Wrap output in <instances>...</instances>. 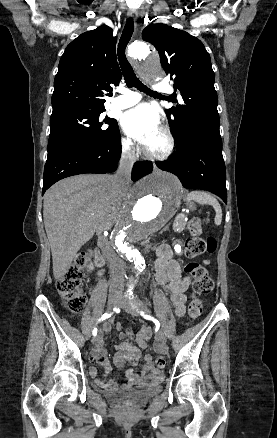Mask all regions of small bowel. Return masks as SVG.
Masks as SVG:
<instances>
[{
    "label": "small bowel",
    "instance_id": "c3829d8e",
    "mask_svg": "<svg viewBox=\"0 0 277 438\" xmlns=\"http://www.w3.org/2000/svg\"><path fill=\"white\" fill-rule=\"evenodd\" d=\"M155 268L157 284L166 286L176 315L183 316L185 314L186 304L185 292L187 291L191 280L189 277L182 275L181 261L177 258H174V249L171 246L162 245L159 247L157 251ZM102 331L107 337L112 335L111 328L108 325L103 326ZM125 331L127 333L124 336L122 334L119 335L120 339L125 338L126 340H133L135 338V335L130 333L132 331L130 326H127ZM151 335L152 332L150 328L143 327L137 335V346H132L129 343L122 341L117 347V353L114 359L116 365L122 366L126 361H129L132 366H135L140 358L141 349H145L147 347V341ZM105 351L106 346L98 342L96 350H92L91 352V360L99 362L105 371H109L111 369V365L105 355ZM144 360L145 364L143 366L142 373L139 374L131 372L129 376L134 381L157 384L160 379V375L159 372L154 369L152 356L147 354L145 355ZM90 373L91 375L95 376L96 369L91 368ZM96 383L97 385L105 387L108 390H114L118 387L116 382L111 381L106 383L102 378H97Z\"/></svg>",
    "mask_w": 277,
    "mask_h": 438
}]
</instances>
